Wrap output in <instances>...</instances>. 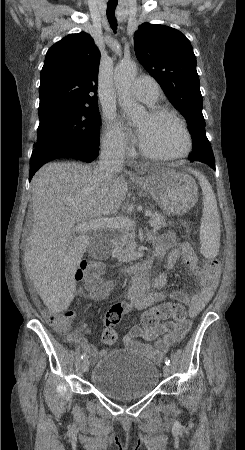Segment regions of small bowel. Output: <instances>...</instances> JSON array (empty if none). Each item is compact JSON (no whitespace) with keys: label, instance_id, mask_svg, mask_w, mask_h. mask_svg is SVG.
Masks as SVG:
<instances>
[{"label":"small bowel","instance_id":"c3829d8e","mask_svg":"<svg viewBox=\"0 0 245 450\" xmlns=\"http://www.w3.org/2000/svg\"><path fill=\"white\" fill-rule=\"evenodd\" d=\"M151 241L153 244L152 257L155 260H161L166 256L167 270L174 269L178 262L182 261L191 275L199 281L201 289L191 296L178 291L165 292L164 287L168 280L166 272H160L153 277L144 272L135 275L128 288L127 294L131 306L137 310H148L156 303L162 301L181 303L187 307L190 318L197 317L217 287L218 272L211 274L207 270L202 269L199 264V258L192 246L189 243L178 242L171 232H165L161 235L151 234ZM112 287V282L101 281V285L97 288H91L86 285L85 292H80V294L95 300L106 299ZM190 328V320L183 323H177L172 320L163 321L148 333H144L141 328L136 327L124 336L123 345L130 349H142L148 354L162 356L172 345L179 342ZM89 332L90 328L83 326L69 333L66 336V340L71 344H78L92 357L106 353L107 348L97 351L87 342L85 335ZM141 334H145L148 340L154 341V348L137 340Z\"/></svg>","mask_w":245,"mask_h":450}]
</instances>
